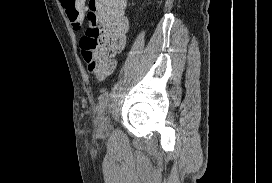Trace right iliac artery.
I'll use <instances>...</instances> for the list:
<instances>
[{"label":"right iliac artery","mask_w":272,"mask_h":183,"mask_svg":"<svg viewBox=\"0 0 272 183\" xmlns=\"http://www.w3.org/2000/svg\"><path fill=\"white\" fill-rule=\"evenodd\" d=\"M109 99V94L108 92L103 93L102 95L99 96V103L97 106V111L98 113L104 112L105 107L107 106Z\"/></svg>","instance_id":"right-iliac-artery-1"}]
</instances>
